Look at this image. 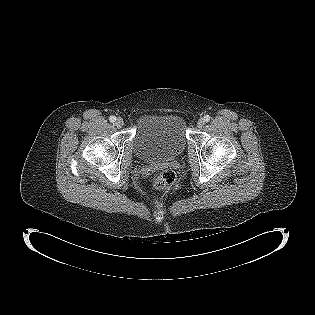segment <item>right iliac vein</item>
Here are the masks:
<instances>
[{
  "label": "right iliac vein",
  "mask_w": 315,
  "mask_h": 315,
  "mask_svg": "<svg viewBox=\"0 0 315 315\" xmlns=\"http://www.w3.org/2000/svg\"><path fill=\"white\" fill-rule=\"evenodd\" d=\"M123 125H124L123 119L120 118V117L117 118L116 121H115V126H116L117 128H121Z\"/></svg>",
  "instance_id": "obj_1"
}]
</instances>
